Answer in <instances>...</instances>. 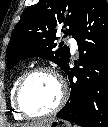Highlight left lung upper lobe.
<instances>
[{
  "instance_id": "obj_1",
  "label": "left lung upper lobe",
  "mask_w": 108,
  "mask_h": 127,
  "mask_svg": "<svg viewBox=\"0 0 108 127\" xmlns=\"http://www.w3.org/2000/svg\"><path fill=\"white\" fill-rule=\"evenodd\" d=\"M86 0H39L23 11L16 24L7 51V68L23 58L42 57L58 64L63 71L69 63V48L60 43L56 49V34L74 35ZM100 67L90 68V79L98 86Z\"/></svg>"
}]
</instances>
